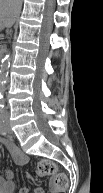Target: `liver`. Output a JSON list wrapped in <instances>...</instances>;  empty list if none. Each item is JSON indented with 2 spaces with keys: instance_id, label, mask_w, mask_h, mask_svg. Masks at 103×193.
Returning <instances> with one entry per match:
<instances>
[{
  "instance_id": "obj_1",
  "label": "liver",
  "mask_w": 103,
  "mask_h": 193,
  "mask_svg": "<svg viewBox=\"0 0 103 193\" xmlns=\"http://www.w3.org/2000/svg\"><path fill=\"white\" fill-rule=\"evenodd\" d=\"M21 0H0V18L3 26H10L19 12Z\"/></svg>"
}]
</instances>
